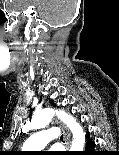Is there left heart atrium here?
<instances>
[{"mask_svg": "<svg viewBox=\"0 0 119 155\" xmlns=\"http://www.w3.org/2000/svg\"><path fill=\"white\" fill-rule=\"evenodd\" d=\"M50 155H59V154H55L54 151H51V152H50Z\"/></svg>", "mask_w": 119, "mask_h": 155, "instance_id": "1", "label": "left heart atrium"}]
</instances>
